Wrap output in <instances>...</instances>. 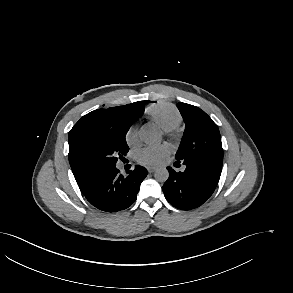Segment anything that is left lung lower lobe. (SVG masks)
<instances>
[{
    "instance_id": "0a47b994",
    "label": "left lung lower lobe",
    "mask_w": 293,
    "mask_h": 293,
    "mask_svg": "<svg viewBox=\"0 0 293 293\" xmlns=\"http://www.w3.org/2000/svg\"><path fill=\"white\" fill-rule=\"evenodd\" d=\"M182 162L186 165L184 172L167 167L169 178L163 185V192L173 206L190 210L201 206L212 195L220 179L222 163L202 157Z\"/></svg>"
}]
</instances>
